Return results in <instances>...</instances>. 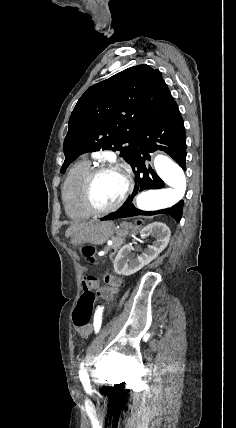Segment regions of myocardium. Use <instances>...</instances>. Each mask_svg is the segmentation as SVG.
Wrapping results in <instances>:
<instances>
[{"label": "myocardium", "instance_id": "obj_1", "mask_svg": "<svg viewBox=\"0 0 236 428\" xmlns=\"http://www.w3.org/2000/svg\"><path fill=\"white\" fill-rule=\"evenodd\" d=\"M113 169H120L125 173V176L127 179L126 191L122 196V198L117 203L110 206H100L95 202L92 194L94 181L103 172H106L108 170H113ZM134 187H135V182H134L133 171L126 163L114 162V161L101 163L91 168L88 174L86 175L81 188L82 201L85 207L93 214H106V213L114 212L120 209L128 201V199L131 197V195L134 192Z\"/></svg>", "mask_w": 236, "mask_h": 428}]
</instances>
